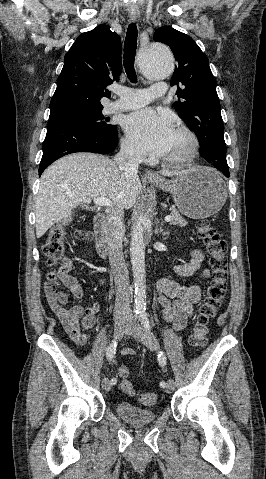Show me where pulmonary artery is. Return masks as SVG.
<instances>
[{
    "mask_svg": "<svg viewBox=\"0 0 266 479\" xmlns=\"http://www.w3.org/2000/svg\"><path fill=\"white\" fill-rule=\"evenodd\" d=\"M166 89L167 85L164 82H157L146 89H115L114 92L119 96V99L110 102L108 110L122 111L144 106L150 100L163 97Z\"/></svg>",
    "mask_w": 266,
    "mask_h": 479,
    "instance_id": "obj_1",
    "label": "pulmonary artery"
}]
</instances>
